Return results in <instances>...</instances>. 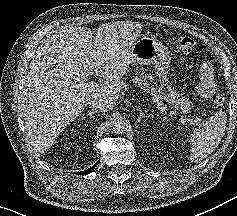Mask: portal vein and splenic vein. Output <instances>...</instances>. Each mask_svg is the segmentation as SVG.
<instances>
[{"instance_id": "obj_1", "label": "portal vein and splenic vein", "mask_w": 237, "mask_h": 216, "mask_svg": "<svg viewBox=\"0 0 237 216\" xmlns=\"http://www.w3.org/2000/svg\"><path fill=\"white\" fill-rule=\"evenodd\" d=\"M83 85H85L84 82L78 83V86H83ZM184 122H186V118L182 116V123H184Z\"/></svg>"}]
</instances>
